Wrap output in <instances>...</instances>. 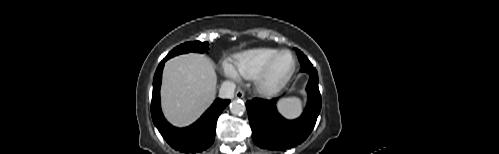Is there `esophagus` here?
<instances>
[{"label": "esophagus", "instance_id": "obj_1", "mask_svg": "<svg viewBox=\"0 0 499 154\" xmlns=\"http://www.w3.org/2000/svg\"><path fill=\"white\" fill-rule=\"evenodd\" d=\"M236 98L242 99L245 97V92L242 89H238L235 93Z\"/></svg>", "mask_w": 499, "mask_h": 154}]
</instances>
